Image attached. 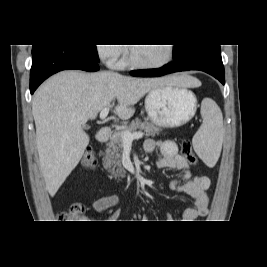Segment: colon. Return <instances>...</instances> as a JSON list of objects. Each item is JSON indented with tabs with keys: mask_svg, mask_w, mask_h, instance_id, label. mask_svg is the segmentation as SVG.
Returning a JSON list of instances; mask_svg holds the SVG:
<instances>
[{
	"mask_svg": "<svg viewBox=\"0 0 267 267\" xmlns=\"http://www.w3.org/2000/svg\"><path fill=\"white\" fill-rule=\"evenodd\" d=\"M181 154L187 161L193 165L197 163V158L192 150L189 141H183L181 144ZM82 164L85 167L93 168L97 164L95 152L92 149H86L82 156ZM86 208L82 203H73L70 207L61 213L60 222L79 223L84 218Z\"/></svg>",
	"mask_w": 267,
	"mask_h": 267,
	"instance_id": "1",
	"label": "colon"
}]
</instances>
